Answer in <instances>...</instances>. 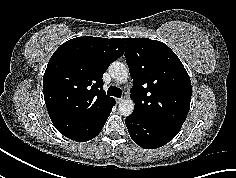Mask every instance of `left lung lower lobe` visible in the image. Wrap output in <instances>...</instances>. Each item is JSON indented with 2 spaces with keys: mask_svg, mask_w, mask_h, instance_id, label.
Returning a JSON list of instances; mask_svg holds the SVG:
<instances>
[{
  "mask_svg": "<svg viewBox=\"0 0 236 178\" xmlns=\"http://www.w3.org/2000/svg\"><path fill=\"white\" fill-rule=\"evenodd\" d=\"M125 123L133 141L145 149H155L165 145L180 130L179 127L133 113L126 118Z\"/></svg>",
  "mask_w": 236,
  "mask_h": 178,
  "instance_id": "obj_1",
  "label": "left lung lower lobe"
}]
</instances>
